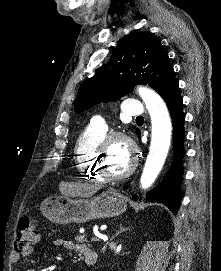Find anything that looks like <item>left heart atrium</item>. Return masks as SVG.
Instances as JSON below:
<instances>
[{"instance_id": "left-heart-atrium-1", "label": "left heart atrium", "mask_w": 221, "mask_h": 271, "mask_svg": "<svg viewBox=\"0 0 221 271\" xmlns=\"http://www.w3.org/2000/svg\"><path fill=\"white\" fill-rule=\"evenodd\" d=\"M114 156H115V157H122V156H123V153H122V152H115V153H114Z\"/></svg>"}]
</instances>
